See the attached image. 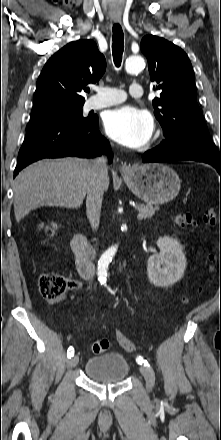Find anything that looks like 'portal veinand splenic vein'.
Returning <instances> with one entry per match:
<instances>
[{"instance_id": "18ae733b", "label": "portal vein and splenic vein", "mask_w": 221, "mask_h": 440, "mask_svg": "<svg viewBox=\"0 0 221 440\" xmlns=\"http://www.w3.org/2000/svg\"><path fill=\"white\" fill-rule=\"evenodd\" d=\"M143 217H144V215H143L142 213H139V214L137 215V219H138V220L143 219Z\"/></svg>"}]
</instances>
